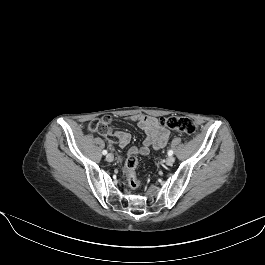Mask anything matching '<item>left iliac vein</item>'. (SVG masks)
Here are the masks:
<instances>
[{
	"label": "left iliac vein",
	"instance_id": "1",
	"mask_svg": "<svg viewBox=\"0 0 265 265\" xmlns=\"http://www.w3.org/2000/svg\"><path fill=\"white\" fill-rule=\"evenodd\" d=\"M175 161V158L173 156H169L167 159H166V164L167 165H172Z\"/></svg>",
	"mask_w": 265,
	"mask_h": 265
}]
</instances>
